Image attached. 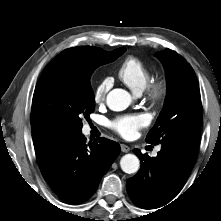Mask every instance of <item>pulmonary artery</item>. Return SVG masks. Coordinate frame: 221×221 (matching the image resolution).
Segmentation results:
<instances>
[{
    "mask_svg": "<svg viewBox=\"0 0 221 221\" xmlns=\"http://www.w3.org/2000/svg\"><path fill=\"white\" fill-rule=\"evenodd\" d=\"M159 150H160V148H157V149H156V152H158Z\"/></svg>",
    "mask_w": 221,
    "mask_h": 221,
    "instance_id": "obj_1",
    "label": "pulmonary artery"
}]
</instances>
